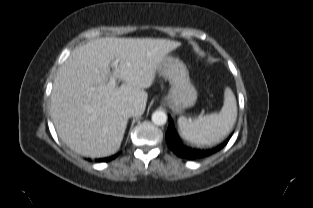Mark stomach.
Wrapping results in <instances>:
<instances>
[{
  "label": "stomach",
  "instance_id": "1",
  "mask_svg": "<svg viewBox=\"0 0 313 208\" xmlns=\"http://www.w3.org/2000/svg\"><path fill=\"white\" fill-rule=\"evenodd\" d=\"M158 72L171 84L168 94L163 99L165 103L175 110H183L195 103L197 92L182 61L166 56L161 61Z\"/></svg>",
  "mask_w": 313,
  "mask_h": 208
}]
</instances>
